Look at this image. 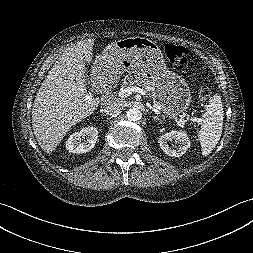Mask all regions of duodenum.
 <instances>
[{
  "label": "duodenum",
  "mask_w": 253,
  "mask_h": 253,
  "mask_svg": "<svg viewBox=\"0 0 253 253\" xmlns=\"http://www.w3.org/2000/svg\"><path fill=\"white\" fill-rule=\"evenodd\" d=\"M105 101L106 100H109L110 99V96L108 95V94H106L105 96H104V98H103Z\"/></svg>",
  "instance_id": "1"
}]
</instances>
